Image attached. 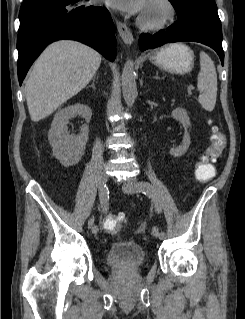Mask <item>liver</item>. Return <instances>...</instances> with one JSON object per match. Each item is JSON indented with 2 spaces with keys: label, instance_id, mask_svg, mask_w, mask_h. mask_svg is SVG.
<instances>
[{
  "label": "liver",
  "instance_id": "1",
  "mask_svg": "<svg viewBox=\"0 0 245 319\" xmlns=\"http://www.w3.org/2000/svg\"><path fill=\"white\" fill-rule=\"evenodd\" d=\"M101 55L76 41L48 46L34 63L25 85L31 120L38 122L79 93L93 78Z\"/></svg>",
  "mask_w": 245,
  "mask_h": 319
}]
</instances>
